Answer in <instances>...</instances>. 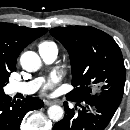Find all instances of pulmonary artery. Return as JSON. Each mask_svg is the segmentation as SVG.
Segmentation results:
<instances>
[{
	"instance_id": "obj_1",
	"label": "pulmonary artery",
	"mask_w": 130,
	"mask_h": 130,
	"mask_svg": "<svg viewBox=\"0 0 130 130\" xmlns=\"http://www.w3.org/2000/svg\"><path fill=\"white\" fill-rule=\"evenodd\" d=\"M39 53L42 60L46 64H51L56 60L58 50L56 47L45 48V49H40ZM40 83H41L40 79H35L30 82H10L7 86V90L12 94L20 93V94L29 95L37 91V89L40 86Z\"/></svg>"
}]
</instances>
